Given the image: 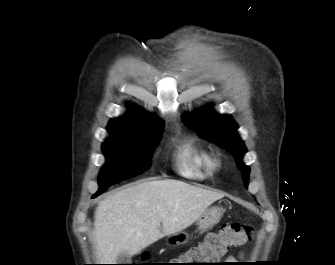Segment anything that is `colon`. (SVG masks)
Masks as SVG:
<instances>
[{
    "mask_svg": "<svg viewBox=\"0 0 335 265\" xmlns=\"http://www.w3.org/2000/svg\"><path fill=\"white\" fill-rule=\"evenodd\" d=\"M253 229L248 225L225 224L215 233L206 236L196 247L188 250L181 259L183 265H215L230 248L239 247L251 240Z\"/></svg>",
    "mask_w": 335,
    "mask_h": 265,
    "instance_id": "colon-1",
    "label": "colon"
}]
</instances>
